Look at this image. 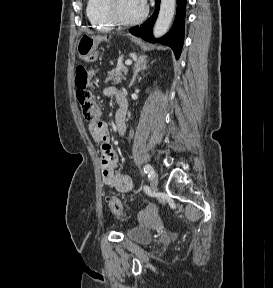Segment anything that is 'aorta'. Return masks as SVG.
Instances as JSON below:
<instances>
[{
    "mask_svg": "<svg viewBox=\"0 0 273 288\" xmlns=\"http://www.w3.org/2000/svg\"><path fill=\"white\" fill-rule=\"evenodd\" d=\"M176 10V0H161L158 18L153 34L156 38L163 36L169 29Z\"/></svg>",
    "mask_w": 273,
    "mask_h": 288,
    "instance_id": "obj_1",
    "label": "aorta"
}]
</instances>
